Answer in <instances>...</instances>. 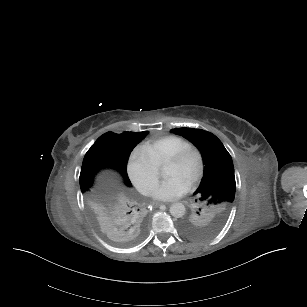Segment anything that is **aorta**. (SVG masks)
<instances>
[{
	"mask_svg": "<svg viewBox=\"0 0 307 307\" xmlns=\"http://www.w3.org/2000/svg\"><path fill=\"white\" fill-rule=\"evenodd\" d=\"M170 214L175 218H181L185 214V206L182 203H174L170 206Z\"/></svg>",
	"mask_w": 307,
	"mask_h": 307,
	"instance_id": "aorta-1",
	"label": "aorta"
}]
</instances>
